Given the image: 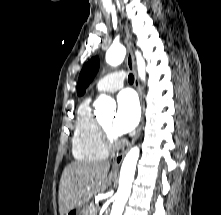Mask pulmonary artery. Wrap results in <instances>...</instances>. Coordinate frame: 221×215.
Wrapping results in <instances>:
<instances>
[{"label":"pulmonary artery","instance_id":"pulmonary-artery-1","mask_svg":"<svg viewBox=\"0 0 221 215\" xmlns=\"http://www.w3.org/2000/svg\"><path fill=\"white\" fill-rule=\"evenodd\" d=\"M125 74L123 71H114L102 77L96 85V91L115 92L123 87Z\"/></svg>","mask_w":221,"mask_h":215}]
</instances>
